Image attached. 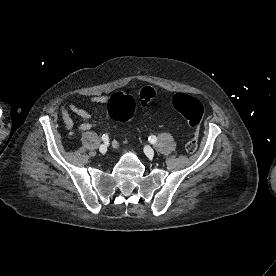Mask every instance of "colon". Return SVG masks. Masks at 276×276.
<instances>
[{"label": "colon", "mask_w": 276, "mask_h": 276, "mask_svg": "<svg viewBox=\"0 0 276 276\" xmlns=\"http://www.w3.org/2000/svg\"><path fill=\"white\" fill-rule=\"evenodd\" d=\"M155 89L151 86H145L140 90L139 99L142 106H146L155 98ZM173 108L180 113L188 122L194 136L188 140L185 149L188 153H194L197 150L198 142L195 133L199 127L204 115L203 104L195 97L185 93H178L172 99ZM109 116L120 122L130 120L136 109L135 98L126 93L114 94L107 105Z\"/></svg>", "instance_id": "obj_1"}]
</instances>
